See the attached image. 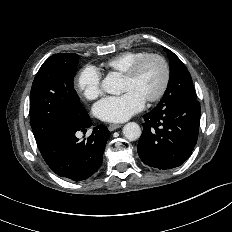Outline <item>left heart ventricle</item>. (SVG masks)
Instances as JSON below:
<instances>
[{
	"instance_id": "1",
	"label": "left heart ventricle",
	"mask_w": 232,
	"mask_h": 232,
	"mask_svg": "<svg viewBox=\"0 0 232 232\" xmlns=\"http://www.w3.org/2000/svg\"><path fill=\"white\" fill-rule=\"evenodd\" d=\"M162 78L163 71L160 63L149 60L142 66L136 77L133 79L124 77L123 88L125 91H136L146 100L158 91Z\"/></svg>"
}]
</instances>
